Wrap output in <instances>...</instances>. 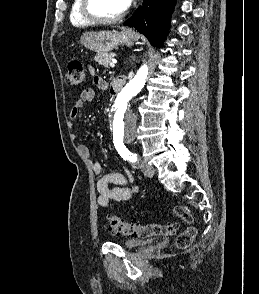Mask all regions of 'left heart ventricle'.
<instances>
[{"mask_svg": "<svg viewBox=\"0 0 259 294\" xmlns=\"http://www.w3.org/2000/svg\"><path fill=\"white\" fill-rule=\"evenodd\" d=\"M91 10L100 17H114L124 11L121 0H91Z\"/></svg>", "mask_w": 259, "mask_h": 294, "instance_id": "obj_1", "label": "left heart ventricle"}]
</instances>
